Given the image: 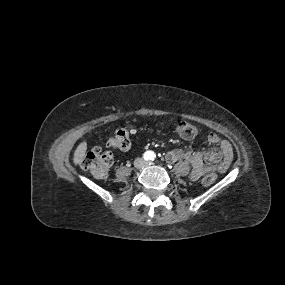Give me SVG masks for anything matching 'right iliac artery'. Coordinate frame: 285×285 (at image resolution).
Returning a JSON list of instances; mask_svg holds the SVG:
<instances>
[{
  "label": "right iliac artery",
  "instance_id": "1",
  "mask_svg": "<svg viewBox=\"0 0 285 285\" xmlns=\"http://www.w3.org/2000/svg\"><path fill=\"white\" fill-rule=\"evenodd\" d=\"M144 159H145V160H148L146 155H144Z\"/></svg>",
  "mask_w": 285,
  "mask_h": 285
}]
</instances>
